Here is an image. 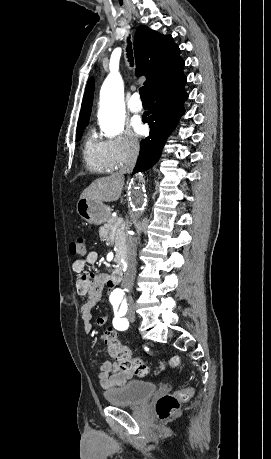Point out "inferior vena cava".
I'll use <instances>...</instances> for the list:
<instances>
[{"mask_svg":"<svg viewBox=\"0 0 271 459\" xmlns=\"http://www.w3.org/2000/svg\"><path fill=\"white\" fill-rule=\"evenodd\" d=\"M134 166H135V162H127L125 166H122V168H120L119 174H131ZM128 273L129 271H126L124 275L123 287H125V289H132L133 279H127V277H129Z\"/></svg>","mask_w":271,"mask_h":459,"instance_id":"obj_1","label":"inferior vena cava"}]
</instances>
